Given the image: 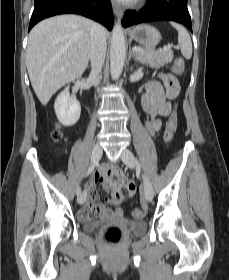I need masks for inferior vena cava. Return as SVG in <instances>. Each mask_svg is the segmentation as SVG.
<instances>
[{
	"label": "inferior vena cava",
	"mask_w": 229,
	"mask_h": 280,
	"mask_svg": "<svg viewBox=\"0 0 229 280\" xmlns=\"http://www.w3.org/2000/svg\"><path fill=\"white\" fill-rule=\"evenodd\" d=\"M90 40L91 73L89 75V81L96 86L99 84L98 75L101 72L107 50L104 27L100 24L93 23L90 30Z\"/></svg>",
	"instance_id": "1"
}]
</instances>
